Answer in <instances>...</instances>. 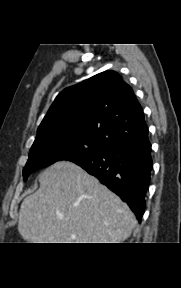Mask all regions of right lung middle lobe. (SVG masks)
<instances>
[{
	"mask_svg": "<svg viewBox=\"0 0 181 288\" xmlns=\"http://www.w3.org/2000/svg\"><path fill=\"white\" fill-rule=\"evenodd\" d=\"M105 149L106 147L100 142L83 136L54 137L34 141L23 169L24 180L32 172L57 161H71L97 154Z\"/></svg>",
	"mask_w": 181,
	"mask_h": 288,
	"instance_id": "obj_1",
	"label": "right lung middle lobe"
}]
</instances>
